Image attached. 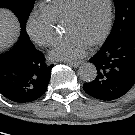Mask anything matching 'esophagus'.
Returning a JSON list of instances; mask_svg holds the SVG:
<instances>
[{
	"label": "esophagus",
	"instance_id": "esophagus-1",
	"mask_svg": "<svg viewBox=\"0 0 135 135\" xmlns=\"http://www.w3.org/2000/svg\"><path fill=\"white\" fill-rule=\"evenodd\" d=\"M67 64L72 66V67H78L81 64V62H79V61L67 62Z\"/></svg>",
	"mask_w": 135,
	"mask_h": 135
}]
</instances>
